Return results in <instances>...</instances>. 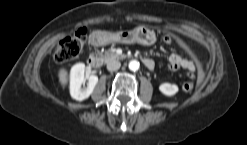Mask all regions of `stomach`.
I'll list each match as a JSON object with an SVG mask.
<instances>
[{
  "instance_id": "obj_1",
  "label": "stomach",
  "mask_w": 247,
  "mask_h": 145,
  "mask_svg": "<svg viewBox=\"0 0 247 145\" xmlns=\"http://www.w3.org/2000/svg\"><path fill=\"white\" fill-rule=\"evenodd\" d=\"M106 42L134 43L143 45H152L156 42V36L153 30L140 26L131 31H120L117 33H107Z\"/></svg>"
}]
</instances>
